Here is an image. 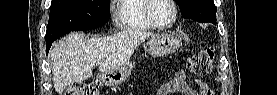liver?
Segmentation results:
<instances>
[{
  "instance_id": "6515ba94",
  "label": "liver",
  "mask_w": 277,
  "mask_h": 95,
  "mask_svg": "<svg viewBox=\"0 0 277 95\" xmlns=\"http://www.w3.org/2000/svg\"><path fill=\"white\" fill-rule=\"evenodd\" d=\"M150 32L124 30L108 37L85 38L75 32L53 44L50 53L53 64V85L61 95L67 86L89 79L92 68L99 64L102 74L126 63Z\"/></svg>"
}]
</instances>
